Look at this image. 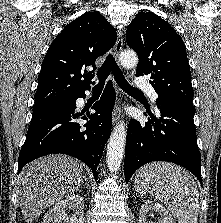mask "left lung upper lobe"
<instances>
[{"mask_svg": "<svg viewBox=\"0 0 221 223\" xmlns=\"http://www.w3.org/2000/svg\"><path fill=\"white\" fill-rule=\"evenodd\" d=\"M126 40L139 57L136 76L150 75L159 96L156 103L195 110L185 45L171 25L151 12H140L128 26Z\"/></svg>", "mask_w": 221, "mask_h": 223, "instance_id": "left-lung-upper-lobe-1", "label": "left lung upper lobe"}]
</instances>
